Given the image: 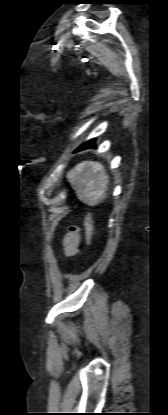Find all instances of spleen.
Returning a JSON list of instances; mask_svg holds the SVG:
<instances>
[{
    "instance_id": "obj_1",
    "label": "spleen",
    "mask_w": 168,
    "mask_h": 415,
    "mask_svg": "<svg viewBox=\"0 0 168 415\" xmlns=\"http://www.w3.org/2000/svg\"><path fill=\"white\" fill-rule=\"evenodd\" d=\"M77 197L88 205H96L106 197L109 179L99 162L84 161L67 173Z\"/></svg>"
}]
</instances>
